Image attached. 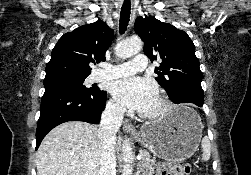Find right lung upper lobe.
Wrapping results in <instances>:
<instances>
[{"instance_id": "right-lung-upper-lobe-1", "label": "right lung upper lobe", "mask_w": 251, "mask_h": 175, "mask_svg": "<svg viewBox=\"0 0 251 175\" xmlns=\"http://www.w3.org/2000/svg\"><path fill=\"white\" fill-rule=\"evenodd\" d=\"M113 31L102 20L64 34L55 45L46 66V77H87L90 64L104 61Z\"/></svg>"}]
</instances>
